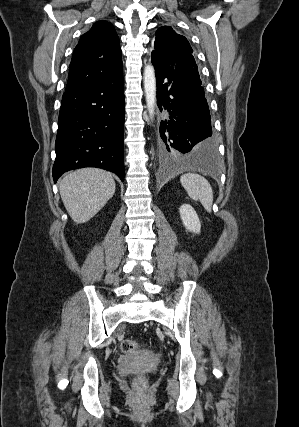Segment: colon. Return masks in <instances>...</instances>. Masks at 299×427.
Instances as JSON below:
<instances>
[{"instance_id": "obj_1", "label": "colon", "mask_w": 299, "mask_h": 427, "mask_svg": "<svg viewBox=\"0 0 299 427\" xmlns=\"http://www.w3.org/2000/svg\"><path fill=\"white\" fill-rule=\"evenodd\" d=\"M139 349V344L131 339H125L121 343V350L124 353H132ZM133 385L137 391H144L147 386V380L143 373L138 374L134 381Z\"/></svg>"}]
</instances>
